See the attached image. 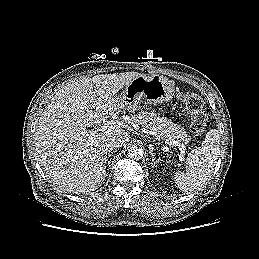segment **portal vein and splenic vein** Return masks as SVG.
<instances>
[{"label":"portal vein and splenic vein","instance_id":"obj_1","mask_svg":"<svg viewBox=\"0 0 259 259\" xmlns=\"http://www.w3.org/2000/svg\"><path fill=\"white\" fill-rule=\"evenodd\" d=\"M126 126H127L126 123H124L123 121L111 120L103 123L100 128L90 131V133H91V136H93L99 131H109L116 128H124ZM166 143L172 146H177L181 150V152L184 153L185 146L183 143H180L179 141H176V140H166Z\"/></svg>","mask_w":259,"mask_h":259}]
</instances>
